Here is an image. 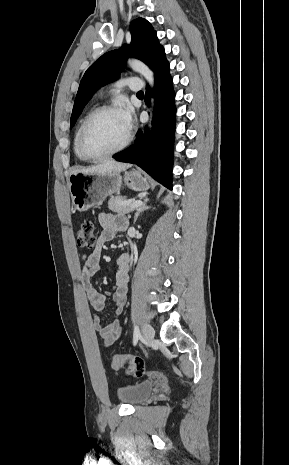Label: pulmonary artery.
<instances>
[{"mask_svg": "<svg viewBox=\"0 0 289 465\" xmlns=\"http://www.w3.org/2000/svg\"><path fill=\"white\" fill-rule=\"evenodd\" d=\"M124 87L129 88L132 91H140L142 88V82L138 77H127L124 79H121L117 81L114 84V91L119 92L121 91Z\"/></svg>", "mask_w": 289, "mask_h": 465, "instance_id": "e3ab8cb5", "label": "pulmonary artery"}]
</instances>
